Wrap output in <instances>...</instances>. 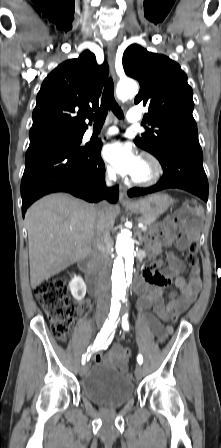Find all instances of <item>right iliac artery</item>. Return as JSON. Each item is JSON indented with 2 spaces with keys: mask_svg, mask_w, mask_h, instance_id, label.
Wrapping results in <instances>:
<instances>
[{
  "mask_svg": "<svg viewBox=\"0 0 221 448\" xmlns=\"http://www.w3.org/2000/svg\"><path fill=\"white\" fill-rule=\"evenodd\" d=\"M116 318H117L116 316L114 317L111 316L109 319L105 321L103 328L98 333L96 340L94 341V344L89 346L87 352L82 356V362H81L82 364H84L86 361L90 359V354L88 353L89 352L92 353L98 350L99 347L106 341L110 333L114 331V329L117 326Z\"/></svg>",
  "mask_w": 221,
  "mask_h": 448,
  "instance_id": "1",
  "label": "right iliac artery"
}]
</instances>
